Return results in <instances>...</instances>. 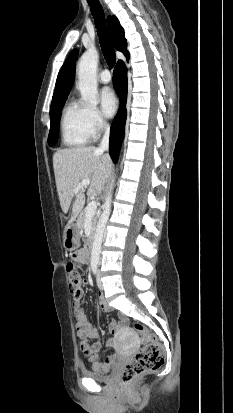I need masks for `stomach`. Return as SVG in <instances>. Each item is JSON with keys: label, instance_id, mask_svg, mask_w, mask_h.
<instances>
[{"label": "stomach", "instance_id": "obj_1", "mask_svg": "<svg viewBox=\"0 0 233 413\" xmlns=\"http://www.w3.org/2000/svg\"><path fill=\"white\" fill-rule=\"evenodd\" d=\"M79 233H80V229L77 226V224H74V223L69 225L65 229L63 245L67 250L72 251L78 246Z\"/></svg>", "mask_w": 233, "mask_h": 413}]
</instances>
